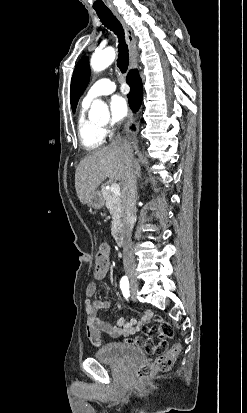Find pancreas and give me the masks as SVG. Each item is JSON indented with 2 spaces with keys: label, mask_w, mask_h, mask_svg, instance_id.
<instances>
[{
  "label": "pancreas",
  "mask_w": 247,
  "mask_h": 413,
  "mask_svg": "<svg viewBox=\"0 0 247 413\" xmlns=\"http://www.w3.org/2000/svg\"><path fill=\"white\" fill-rule=\"evenodd\" d=\"M105 200L106 207L112 215V231H117L118 227H121V217H122V204H121V194H114L111 192L110 188H105L102 186L101 190Z\"/></svg>",
  "instance_id": "obj_1"
}]
</instances>
